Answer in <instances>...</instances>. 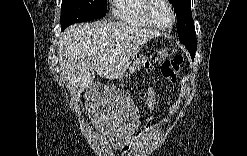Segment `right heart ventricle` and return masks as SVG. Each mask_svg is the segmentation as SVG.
Masks as SVG:
<instances>
[{
  "label": "right heart ventricle",
  "mask_w": 247,
  "mask_h": 156,
  "mask_svg": "<svg viewBox=\"0 0 247 156\" xmlns=\"http://www.w3.org/2000/svg\"><path fill=\"white\" fill-rule=\"evenodd\" d=\"M147 0H119L113 4L112 12L117 20L144 28H152L145 16Z\"/></svg>",
  "instance_id": "right-heart-ventricle-1"
}]
</instances>
